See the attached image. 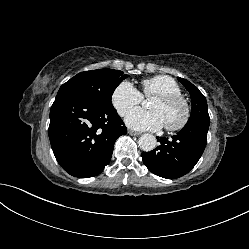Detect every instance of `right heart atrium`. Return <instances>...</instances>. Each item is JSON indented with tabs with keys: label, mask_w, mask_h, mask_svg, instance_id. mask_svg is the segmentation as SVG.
Instances as JSON below:
<instances>
[{
	"label": "right heart atrium",
	"mask_w": 249,
	"mask_h": 249,
	"mask_svg": "<svg viewBox=\"0 0 249 249\" xmlns=\"http://www.w3.org/2000/svg\"><path fill=\"white\" fill-rule=\"evenodd\" d=\"M143 97L129 81L120 82L113 90L111 103L120 116L126 115Z\"/></svg>",
	"instance_id": "obj_1"
}]
</instances>
